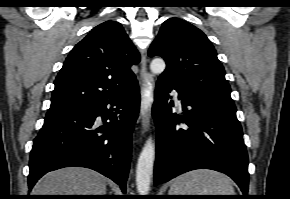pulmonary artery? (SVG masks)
Wrapping results in <instances>:
<instances>
[{
  "mask_svg": "<svg viewBox=\"0 0 290 199\" xmlns=\"http://www.w3.org/2000/svg\"><path fill=\"white\" fill-rule=\"evenodd\" d=\"M175 99H176V101H177L178 103H180V101H179V99H178V95H177V93H175Z\"/></svg>",
  "mask_w": 290,
  "mask_h": 199,
  "instance_id": "e3ab8cb5",
  "label": "pulmonary artery"
}]
</instances>
